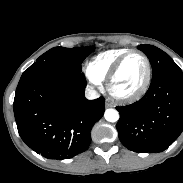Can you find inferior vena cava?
<instances>
[{
  "label": "inferior vena cava",
  "mask_w": 183,
  "mask_h": 183,
  "mask_svg": "<svg viewBox=\"0 0 183 183\" xmlns=\"http://www.w3.org/2000/svg\"><path fill=\"white\" fill-rule=\"evenodd\" d=\"M99 93L94 90L92 87H87L85 90V97L89 100L97 99L99 98Z\"/></svg>",
  "instance_id": "602c4592"
}]
</instances>
